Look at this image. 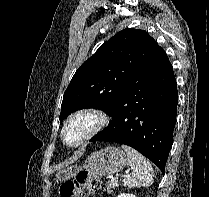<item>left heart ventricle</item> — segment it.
<instances>
[{"label": "left heart ventricle", "mask_w": 209, "mask_h": 197, "mask_svg": "<svg viewBox=\"0 0 209 197\" xmlns=\"http://www.w3.org/2000/svg\"><path fill=\"white\" fill-rule=\"evenodd\" d=\"M91 119L81 117L77 119L65 132V139L69 143L75 142L90 126Z\"/></svg>", "instance_id": "1"}]
</instances>
